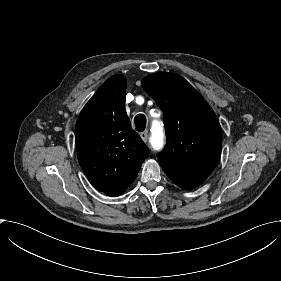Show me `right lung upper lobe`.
<instances>
[{"instance_id": "obj_1", "label": "right lung upper lobe", "mask_w": 281, "mask_h": 281, "mask_svg": "<svg viewBox=\"0 0 281 281\" xmlns=\"http://www.w3.org/2000/svg\"><path fill=\"white\" fill-rule=\"evenodd\" d=\"M126 79L109 78L81 111L75 128L77 156L91 184L119 196L134 181L149 150L125 111Z\"/></svg>"}]
</instances>
